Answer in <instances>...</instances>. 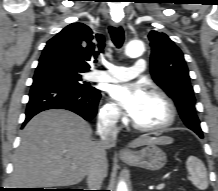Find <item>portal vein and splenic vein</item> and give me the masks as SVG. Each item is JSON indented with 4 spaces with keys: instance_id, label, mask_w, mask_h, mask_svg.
<instances>
[{
    "instance_id": "portal-vein-and-splenic-vein-1",
    "label": "portal vein and splenic vein",
    "mask_w": 218,
    "mask_h": 191,
    "mask_svg": "<svg viewBox=\"0 0 218 191\" xmlns=\"http://www.w3.org/2000/svg\"><path fill=\"white\" fill-rule=\"evenodd\" d=\"M164 184L162 183V184H159L157 187H156V189L157 190H162L163 188H164Z\"/></svg>"
}]
</instances>
